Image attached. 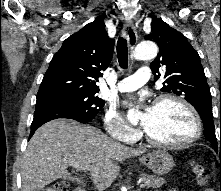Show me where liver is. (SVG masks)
<instances>
[{
  "label": "liver",
  "instance_id": "obj_1",
  "mask_svg": "<svg viewBox=\"0 0 221 191\" xmlns=\"http://www.w3.org/2000/svg\"><path fill=\"white\" fill-rule=\"evenodd\" d=\"M146 149L117 143L99 129L74 120L57 119L41 126L29 141L21 167L22 191H40L61 177H70L68 166L88 171L95 185L109 187L119 174L115 161L136 157ZM73 163L74 165H71Z\"/></svg>",
  "mask_w": 221,
  "mask_h": 191
}]
</instances>
